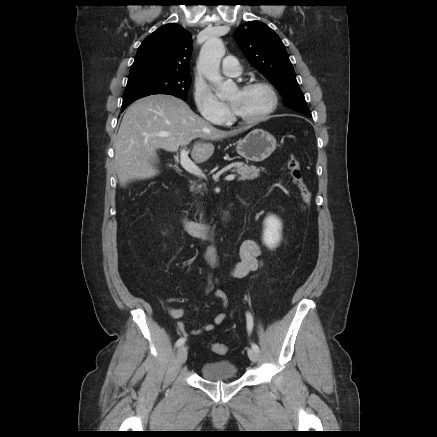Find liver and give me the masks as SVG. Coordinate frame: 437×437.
Wrapping results in <instances>:
<instances>
[{"label":"liver","mask_w":437,"mask_h":437,"mask_svg":"<svg viewBox=\"0 0 437 437\" xmlns=\"http://www.w3.org/2000/svg\"><path fill=\"white\" fill-rule=\"evenodd\" d=\"M245 128L223 131L196 115L171 95H150L135 101L126 110L114 143V167L120 186L134 180L153 178L159 171L152 161L157 149L175 152L196 138L191 158L197 164L214 153L212 143L243 132Z\"/></svg>","instance_id":"obj_1"}]
</instances>
